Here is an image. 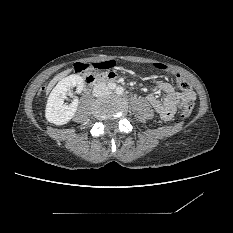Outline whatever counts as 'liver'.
I'll use <instances>...</instances> for the list:
<instances>
[{
  "label": "liver",
  "mask_w": 233,
  "mask_h": 233,
  "mask_svg": "<svg viewBox=\"0 0 233 233\" xmlns=\"http://www.w3.org/2000/svg\"><path fill=\"white\" fill-rule=\"evenodd\" d=\"M70 71H71V69H68V70L64 71L63 73H61L59 76H65V75H67L68 73H70ZM57 80H58V77L55 78V79H53V80L49 83V85H48V87H47V90H48V91L51 90V88L53 87V85L55 84V82H56Z\"/></svg>",
  "instance_id": "1"
}]
</instances>
